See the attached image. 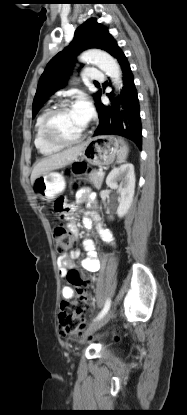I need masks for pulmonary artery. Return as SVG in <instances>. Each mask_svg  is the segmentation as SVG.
<instances>
[{
  "mask_svg": "<svg viewBox=\"0 0 187 415\" xmlns=\"http://www.w3.org/2000/svg\"><path fill=\"white\" fill-rule=\"evenodd\" d=\"M88 78L94 82H101L104 80V73L94 67L87 69Z\"/></svg>",
  "mask_w": 187,
  "mask_h": 415,
  "instance_id": "e3ab8cb5",
  "label": "pulmonary artery"
}]
</instances>
